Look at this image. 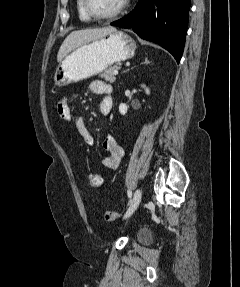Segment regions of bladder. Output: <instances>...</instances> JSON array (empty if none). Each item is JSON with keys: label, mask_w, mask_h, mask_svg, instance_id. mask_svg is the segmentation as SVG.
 Here are the masks:
<instances>
[{"label": "bladder", "mask_w": 240, "mask_h": 287, "mask_svg": "<svg viewBox=\"0 0 240 287\" xmlns=\"http://www.w3.org/2000/svg\"><path fill=\"white\" fill-rule=\"evenodd\" d=\"M138 238L142 242H147L149 241V233L146 230H140L138 232Z\"/></svg>", "instance_id": "bladder-1"}]
</instances>
